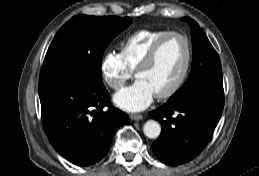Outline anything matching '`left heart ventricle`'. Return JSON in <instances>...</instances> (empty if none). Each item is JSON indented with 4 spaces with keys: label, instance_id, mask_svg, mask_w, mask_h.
Listing matches in <instances>:
<instances>
[{
    "label": "left heart ventricle",
    "instance_id": "1",
    "mask_svg": "<svg viewBox=\"0 0 259 176\" xmlns=\"http://www.w3.org/2000/svg\"><path fill=\"white\" fill-rule=\"evenodd\" d=\"M186 59L183 39L172 36L161 46L155 61L137 74V79L146 82L155 95L167 90L181 73Z\"/></svg>",
    "mask_w": 259,
    "mask_h": 176
}]
</instances>
